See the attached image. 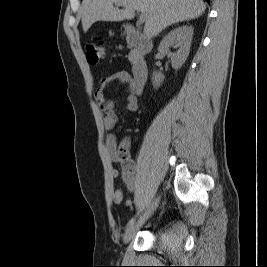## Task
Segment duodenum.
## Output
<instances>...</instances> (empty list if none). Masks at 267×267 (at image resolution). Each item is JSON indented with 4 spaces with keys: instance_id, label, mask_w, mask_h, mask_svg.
<instances>
[{
    "instance_id": "1",
    "label": "duodenum",
    "mask_w": 267,
    "mask_h": 267,
    "mask_svg": "<svg viewBox=\"0 0 267 267\" xmlns=\"http://www.w3.org/2000/svg\"><path fill=\"white\" fill-rule=\"evenodd\" d=\"M125 40L135 49L137 54V58L132 65V74L135 92L139 94L143 91L148 78V67L144 56L152 50L153 44L151 40L131 25L126 27Z\"/></svg>"
}]
</instances>
